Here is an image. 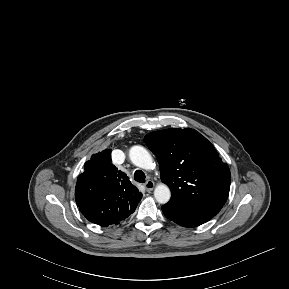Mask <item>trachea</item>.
<instances>
[{
	"mask_svg": "<svg viewBox=\"0 0 289 289\" xmlns=\"http://www.w3.org/2000/svg\"><path fill=\"white\" fill-rule=\"evenodd\" d=\"M145 173L141 170H136L134 173V179L139 182V183H144L145 182Z\"/></svg>",
	"mask_w": 289,
	"mask_h": 289,
	"instance_id": "obj_1",
	"label": "trachea"
}]
</instances>
